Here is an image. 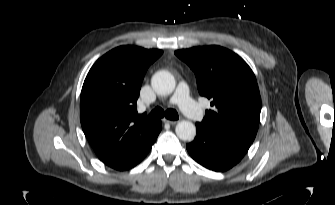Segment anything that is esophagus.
I'll list each match as a JSON object with an SVG mask.
<instances>
[{"label": "esophagus", "instance_id": "34e87169", "mask_svg": "<svg viewBox=\"0 0 335 205\" xmlns=\"http://www.w3.org/2000/svg\"><path fill=\"white\" fill-rule=\"evenodd\" d=\"M163 121H164L165 123H168V124H171V125H175V124L178 123L177 120H169V119H166V118H164Z\"/></svg>", "mask_w": 335, "mask_h": 205}]
</instances>
